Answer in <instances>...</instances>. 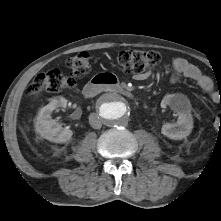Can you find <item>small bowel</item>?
<instances>
[{"label": "small bowel", "mask_w": 221, "mask_h": 221, "mask_svg": "<svg viewBox=\"0 0 221 221\" xmlns=\"http://www.w3.org/2000/svg\"><path fill=\"white\" fill-rule=\"evenodd\" d=\"M149 77V72L136 74V80H145ZM181 77L191 79L206 93L209 94L213 102H219L218 94L213 90V84L210 78L203 75L200 69L183 58H175L172 61L171 81L177 82Z\"/></svg>", "instance_id": "obj_1"}]
</instances>
